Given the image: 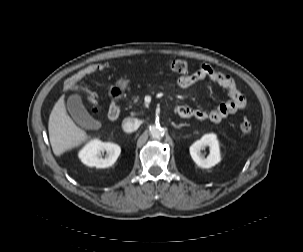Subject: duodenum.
<instances>
[{
  "instance_id": "duodenum-1",
  "label": "duodenum",
  "mask_w": 303,
  "mask_h": 252,
  "mask_svg": "<svg viewBox=\"0 0 303 252\" xmlns=\"http://www.w3.org/2000/svg\"><path fill=\"white\" fill-rule=\"evenodd\" d=\"M116 98L112 101L110 110H109V118L111 120H116L121 113L120 105L118 104V98L120 95V90H116Z\"/></svg>"
}]
</instances>
